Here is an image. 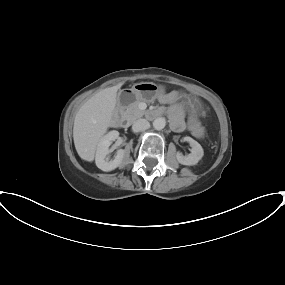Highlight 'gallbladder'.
<instances>
[{"mask_svg": "<svg viewBox=\"0 0 285 285\" xmlns=\"http://www.w3.org/2000/svg\"><path fill=\"white\" fill-rule=\"evenodd\" d=\"M124 95H125V92H124V91L121 92L120 95H119V96H120V99H121Z\"/></svg>", "mask_w": 285, "mask_h": 285, "instance_id": "1", "label": "gallbladder"}]
</instances>
